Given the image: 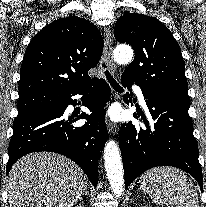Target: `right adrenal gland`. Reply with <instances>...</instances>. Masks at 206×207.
I'll use <instances>...</instances> for the list:
<instances>
[{"label":"right adrenal gland","instance_id":"2a0ac1e0","mask_svg":"<svg viewBox=\"0 0 206 207\" xmlns=\"http://www.w3.org/2000/svg\"><path fill=\"white\" fill-rule=\"evenodd\" d=\"M84 195H86V196H87V192H86V191H85Z\"/></svg>","mask_w":206,"mask_h":207}]
</instances>
